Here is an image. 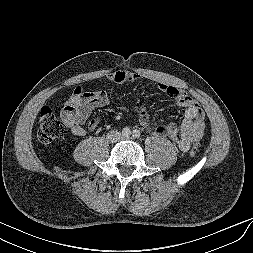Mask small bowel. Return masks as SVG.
<instances>
[{
	"mask_svg": "<svg viewBox=\"0 0 253 253\" xmlns=\"http://www.w3.org/2000/svg\"><path fill=\"white\" fill-rule=\"evenodd\" d=\"M138 79V74L127 70H118L109 76V80L115 83H133ZM158 88L171 97L178 106L185 109L183 121L180 127L175 123H168L162 128L152 129L148 108L145 104H141L137 107L140 124L154 136H167L177 145L179 150L186 152L190 145L199 141L204 134V113L193 98L175 85L161 82L158 84ZM108 104L109 97L105 90L86 91L84 88L78 87L65 102L61 116L74 135L84 136L87 130L82 125L94 111L104 108ZM99 124L100 119L94 118L89 122L88 129L95 130Z\"/></svg>",
	"mask_w": 253,
	"mask_h": 253,
	"instance_id": "1",
	"label": "small bowel"
}]
</instances>
